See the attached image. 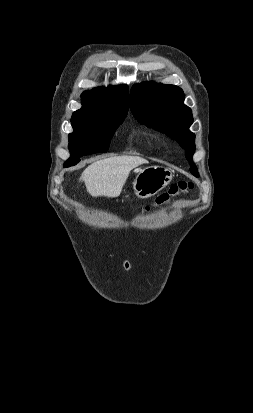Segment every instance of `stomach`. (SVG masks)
<instances>
[{
  "label": "stomach",
  "mask_w": 253,
  "mask_h": 413,
  "mask_svg": "<svg viewBox=\"0 0 253 413\" xmlns=\"http://www.w3.org/2000/svg\"><path fill=\"white\" fill-rule=\"evenodd\" d=\"M173 174L161 166L143 168L133 181V189L139 198H149L164 189L171 181Z\"/></svg>",
  "instance_id": "0dacf381"
}]
</instances>
